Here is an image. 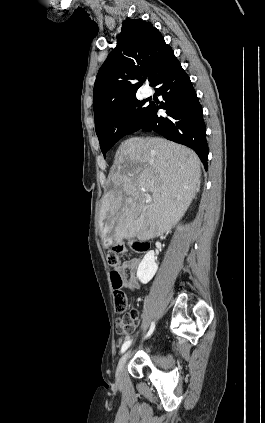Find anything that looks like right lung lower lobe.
<instances>
[{
  "label": "right lung lower lobe",
  "instance_id": "98d812e1",
  "mask_svg": "<svg viewBox=\"0 0 265 423\" xmlns=\"http://www.w3.org/2000/svg\"><path fill=\"white\" fill-rule=\"evenodd\" d=\"M153 87L163 96L160 106L150 104L142 120L130 131H155L166 139L193 149L207 170L208 146L202 108L192 83L175 57L157 76ZM158 109H165L167 116H160Z\"/></svg>",
  "mask_w": 265,
  "mask_h": 423
}]
</instances>
